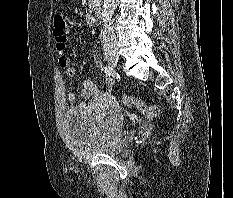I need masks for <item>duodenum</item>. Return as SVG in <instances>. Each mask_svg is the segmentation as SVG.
<instances>
[{
	"label": "duodenum",
	"instance_id": "1",
	"mask_svg": "<svg viewBox=\"0 0 233 198\" xmlns=\"http://www.w3.org/2000/svg\"><path fill=\"white\" fill-rule=\"evenodd\" d=\"M101 17L100 10L93 9L86 15V21L89 25L95 26L99 23Z\"/></svg>",
	"mask_w": 233,
	"mask_h": 198
}]
</instances>
